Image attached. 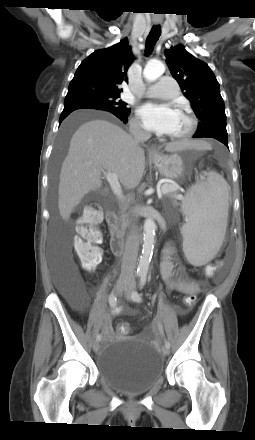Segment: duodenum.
Returning a JSON list of instances; mask_svg holds the SVG:
<instances>
[{
    "label": "duodenum",
    "instance_id": "obj_1",
    "mask_svg": "<svg viewBox=\"0 0 255 440\" xmlns=\"http://www.w3.org/2000/svg\"><path fill=\"white\" fill-rule=\"evenodd\" d=\"M106 222L111 233V249L112 252L120 256L123 253L124 241L121 233L117 228V216L114 210L110 209L106 213Z\"/></svg>",
    "mask_w": 255,
    "mask_h": 440
}]
</instances>
